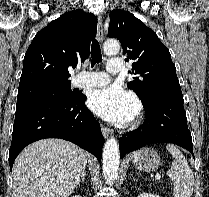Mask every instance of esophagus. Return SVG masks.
I'll use <instances>...</instances> for the list:
<instances>
[{
  "label": "esophagus",
  "instance_id": "1",
  "mask_svg": "<svg viewBox=\"0 0 209 197\" xmlns=\"http://www.w3.org/2000/svg\"><path fill=\"white\" fill-rule=\"evenodd\" d=\"M98 28H97V37L100 42L103 41L104 33H103V24H102V17L98 15ZM101 131L104 137H108L112 134V130L108 127L101 126Z\"/></svg>",
  "mask_w": 209,
  "mask_h": 197
}]
</instances>
